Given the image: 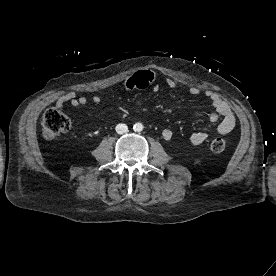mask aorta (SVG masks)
Returning <instances> with one entry per match:
<instances>
[{
  "mask_svg": "<svg viewBox=\"0 0 276 276\" xmlns=\"http://www.w3.org/2000/svg\"><path fill=\"white\" fill-rule=\"evenodd\" d=\"M143 124L142 123H135L133 126L134 131L141 132L143 130Z\"/></svg>",
  "mask_w": 276,
  "mask_h": 276,
  "instance_id": "1",
  "label": "aorta"
}]
</instances>
